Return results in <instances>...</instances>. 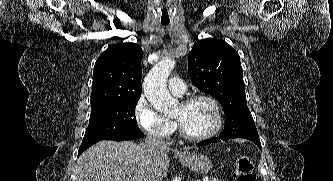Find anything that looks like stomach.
Segmentation results:
<instances>
[{
    "label": "stomach",
    "instance_id": "obj_1",
    "mask_svg": "<svg viewBox=\"0 0 333 181\" xmlns=\"http://www.w3.org/2000/svg\"><path fill=\"white\" fill-rule=\"evenodd\" d=\"M183 166L198 174H207L212 169V161L203 154L185 152L179 155Z\"/></svg>",
    "mask_w": 333,
    "mask_h": 181
}]
</instances>
